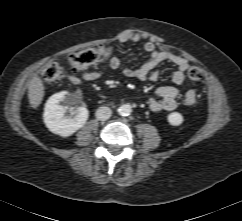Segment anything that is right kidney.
I'll use <instances>...</instances> for the list:
<instances>
[{
    "mask_svg": "<svg viewBox=\"0 0 242 221\" xmlns=\"http://www.w3.org/2000/svg\"><path fill=\"white\" fill-rule=\"evenodd\" d=\"M60 102H64L62 106ZM77 101L66 91L52 95L45 104L43 119L46 127L54 134L68 137L78 131L86 123L89 112L84 106H74ZM70 109L71 116L65 117Z\"/></svg>",
    "mask_w": 242,
    "mask_h": 221,
    "instance_id": "1",
    "label": "right kidney"
}]
</instances>
